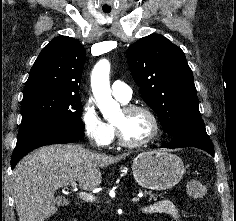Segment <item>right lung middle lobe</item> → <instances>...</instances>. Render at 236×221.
Returning <instances> with one entry per match:
<instances>
[{
  "mask_svg": "<svg viewBox=\"0 0 236 221\" xmlns=\"http://www.w3.org/2000/svg\"><path fill=\"white\" fill-rule=\"evenodd\" d=\"M79 94L37 91L23 95L20 128L36 123L62 125L83 130Z\"/></svg>",
  "mask_w": 236,
  "mask_h": 221,
  "instance_id": "dd1d6c3e",
  "label": "right lung middle lobe"
}]
</instances>
